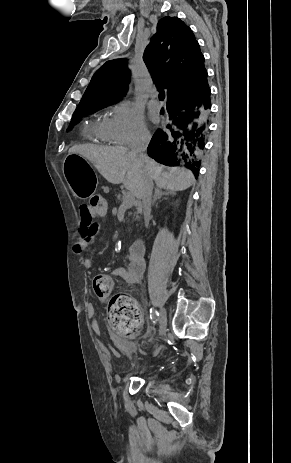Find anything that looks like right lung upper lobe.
<instances>
[{"mask_svg":"<svg viewBox=\"0 0 291 463\" xmlns=\"http://www.w3.org/2000/svg\"><path fill=\"white\" fill-rule=\"evenodd\" d=\"M143 60L158 89L168 99L196 94L207 73L204 56L192 30L177 17H164L144 51ZM127 60L107 61L93 75L78 107L116 103L127 92Z\"/></svg>","mask_w":291,"mask_h":463,"instance_id":"1","label":"right lung upper lobe"}]
</instances>
